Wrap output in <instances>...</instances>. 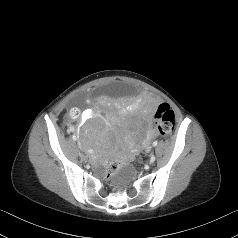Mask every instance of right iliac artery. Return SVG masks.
<instances>
[{
  "mask_svg": "<svg viewBox=\"0 0 238 238\" xmlns=\"http://www.w3.org/2000/svg\"><path fill=\"white\" fill-rule=\"evenodd\" d=\"M72 138H73L74 140H76L77 137H76V135H73Z\"/></svg>",
  "mask_w": 238,
  "mask_h": 238,
  "instance_id": "1",
  "label": "right iliac artery"
}]
</instances>
